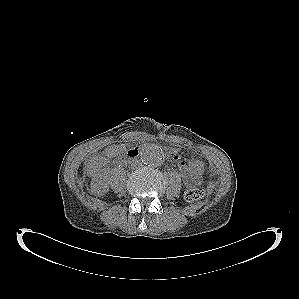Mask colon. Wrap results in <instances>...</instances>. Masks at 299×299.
<instances>
[{
	"label": "colon",
	"mask_w": 299,
	"mask_h": 299,
	"mask_svg": "<svg viewBox=\"0 0 299 299\" xmlns=\"http://www.w3.org/2000/svg\"><path fill=\"white\" fill-rule=\"evenodd\" d=\"M189 169L197 181H200L205 174V166L203 162L194 155H188ZM205 195V191L201 187H193L185 192V199L188 202H196L201 200Z\"/></svg>",
	"instance_id": "colon-1"
}]
</instances>
